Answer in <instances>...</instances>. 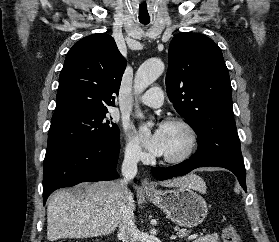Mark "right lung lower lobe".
<instances>
[{
    "label": "right lung lower lobe",
    "instance_id": "right-lung-lower-lobe-1",
    "mask_svg": "<svg viewBox=\"0 0 279 242\" xmlns=\"http://www.w3.org/2000/svg\"><path fill=\"white\" fill-rule=\"evenodd\" d=\"M120 141L64 150L45 157L43 165V202L62 187L116 178Z\"/></svg>",
    "mask_w": 279,
    "mask_h": 242
}]
</instances>
